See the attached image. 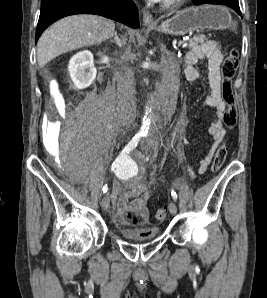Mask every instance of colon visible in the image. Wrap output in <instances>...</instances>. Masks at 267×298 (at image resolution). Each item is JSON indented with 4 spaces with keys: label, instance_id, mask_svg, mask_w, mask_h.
Segmentation results:
<instances>
[{
    "label": "colon",
    "instance_id": "5ec220e1",
    "mask_svg": "<svg viewBox=\"0 0 267 298\" xmlns=\"http://www.w3.org/2000/svg\"><path fill=\"white\" fill-rule=\"evenodd\" d=\"M239 62L238 52L232 50L224 59L221 75H222V97L226 103L227 109L225 112V124L231 128L235 125L237 119V112L235 107L234 93L232 90V80L235 76ZM55 122V117L50 114L48 117V123ZM227 157V147L225 143L219 145L211 166L213 172H217L223 166ZM156 218L159 221H163L166 218V210L158 209L156 211ZM124 219L129 223H137V218L130 212L124 214Z\"/></svg>",
    "mask_w": 267,
    "mask_h": 298
}]
</instances>
